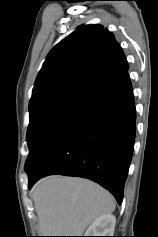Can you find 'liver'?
I'll return each instance as SVG.
<instances>
[{
  "label": "liver",
  "instance_id": "6515ba94",
  "mask_svg": "<svg viewBox=\"0 0 158 237\" xmlns=\"http://www.w3.org/2000/svg\"><path fill=\"white\" fill-rule=\"evenodd\" d=\"M31 196L40 236H82L93 221L115 210L107 190L82 178L45 177L32 187Z\"/></svg>",
  "mask_w": 158,
  "mask_h": 237
}]
</instances>
